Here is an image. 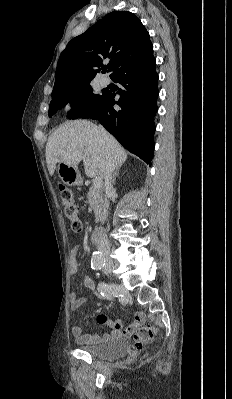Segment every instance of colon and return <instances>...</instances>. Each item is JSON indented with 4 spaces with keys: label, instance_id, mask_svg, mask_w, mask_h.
<instances>
[{
    "label": "colon",
    "instance_id": "1",
    "mask_svg": "<svg viewBox=\"0 0 232 399\" xmlns=\"http://www.w3.org/2000/svg\"><path fill=\"white\" fill-rule=\"evenodd\" d=\"M65 180H59V185H65ZM59 190L61 191V201L65 207V217L66 218H75L78 209L76 208V198H73V189L70 188V185L60 186ZM70 226L73 227V232H82L83 228L80 227L81 223L78 219H75L74 222L70 223ZM158 331L155 330L154 326H143L142 330H133V337L135 342L134 352L140 353L141 347H145L146 342L150 341L151 337H157Z\"/></svg>",
    "mask_w": 232,
    "mask_h": 399
}]
</instances>
